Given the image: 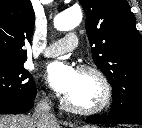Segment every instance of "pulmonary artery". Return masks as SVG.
<instances>
[{
    "mask_svg": "<svg viewBox=\"0 0 142 128\" xmlns=\"http://www.w3.org/2000/svg\"><path fill=\"white\" fill-rule=\"evenodd\" d=\"M78 46V37L75 33H68L59 41L49 45L43 52L46 57H56L73 51Z\"/></svg>",
    "mask_w": 142,
    "mask_h": 128,
    "instance_id": "1",
    "label": "pulmonary artery"
}]
</instances>
